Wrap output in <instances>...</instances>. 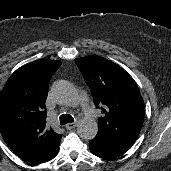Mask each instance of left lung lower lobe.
I'll return each mask as SVG.
<instances>
[{"label":"left lung lower lobe","instance_id":"obj_1","mask_svg":"<svg viewBox=\"0 0 171 171\" xmlns=\"http://www.w3.org/2000/svg\"><path fill=\"white\" fill-rule=\"evenodd\" d=\"M89 147L94 155L104 159L116 158L127 151L126 148L114 144L99 135H96V137L89 142Z\"/></svg>","mask_w":171,"mask_h":171}]
</instances>
